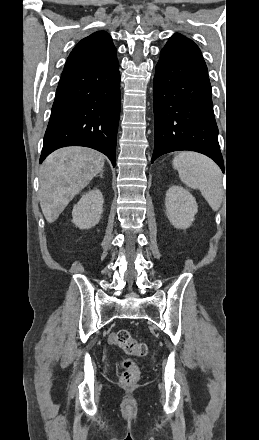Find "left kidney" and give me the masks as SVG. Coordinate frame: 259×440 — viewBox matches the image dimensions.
I'll list each match as a JSON object with an SVG mask.
<instances>
[{"mask_svg": "<svg viewBox=\"0 0 259 440\" xmlns=\"http://www.w3.org/2000/svg\"><path fill=\"white\" fill-rule=\"evenodd\" d=\"M166 215L177 229H187L194 221L198 206L193 195L181 186L173 185L165 197Z\"/></svg>", "mask_w": 259, "mask_h": 440, "instance_id": "obj_1", "label": "left kidney"}]
</instances>
